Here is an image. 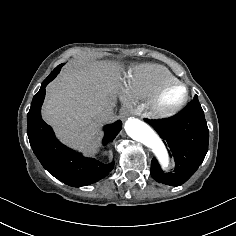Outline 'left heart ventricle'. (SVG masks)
I'll use <instances>...</instances> for the list:
<instances>
[{
  "label": "left heart ventricle",
  "mask_w": 236,
  "mask_h": 236,
  "mask_svg": "<svg viewBox=\"0 0 236 236\" xmlns=\"http://www.w3.org/2000/svg\"><path fill=\"white\" fill-rule=\"evenodd\" d=\"M182 94H183V90L181 88L171 90L170 92L166 94L164 98V103L166 105H172L180 99Z\"/></svg>",
  "instance_id": "1"
}]
</instances>
